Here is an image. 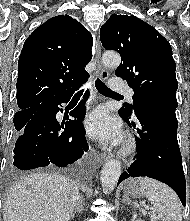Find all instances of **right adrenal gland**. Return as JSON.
<instances>
[{
	"instance_id": "2a0ac1e0",
	"label": "right adrenal gland",
	"mask_w": 190,
	"mask_h": 221,
	"mask_svg": "<svg viewBox=\"0 0 190 221\" xmlns=\"http://www.w3.org/2000/svg\"><path fill=\"white\" fill-rule=\"evenodd\" d=\"M83 209H84V199L82 197H80L78 199V202L75 206V209H74V212L71 216V218L73 219L75 217V214L78 212V213H82L83 212Z\"/></svg>"
}]
</instances>
